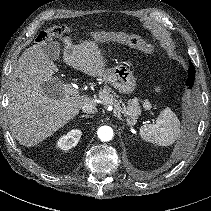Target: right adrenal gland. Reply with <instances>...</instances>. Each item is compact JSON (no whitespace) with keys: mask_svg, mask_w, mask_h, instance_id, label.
I'll use <instances>...</instances> for the list:
<instances>
[{"mask_svg":"<svg viewBox=\"0 0 211 211\" xmlns=\"http://www.w3.org/2000/svg\"><path fill=\"white\" fill-rule=\"evenodd\" d=\"M92 116L90 115H82L81 118H91Z\"/></svg>","mask_w":211,"mask_h":211,"instance_id":"1","label":"right adrenal gland"}]
</instances>
